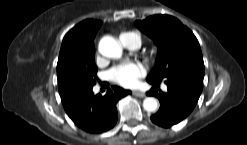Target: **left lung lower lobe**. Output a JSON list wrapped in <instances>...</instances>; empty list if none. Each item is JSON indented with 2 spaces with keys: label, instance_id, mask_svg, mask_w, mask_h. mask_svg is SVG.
<instances>
[{
  "label": "left lung lower lobe",
  "instance_id": "left-lung-lower-lobe-1",
  "mask_svg": "<svg viewBox=\"0 0 247 145\" xmlns=\"http://www.w3.org/2000/svg\"><path fill=\"white\" fill-rule=\"evenodd\" d=\"M150 84L161 81L147 80ZM167 92H157L152 87L147 95L155 96L160 101L158 112L151 116L153 123L168 128L186 118L195 107L202 92L203 80L188 75L176 74L164 79Z\"/></svg>",
  "mask_w": 247,
  "mask_h": 145
}]
</instances>
